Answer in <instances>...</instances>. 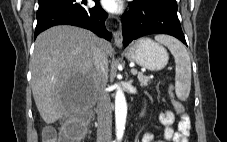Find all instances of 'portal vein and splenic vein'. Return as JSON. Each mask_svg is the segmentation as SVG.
Listing matches in <instances>:
<instances>
[{
  "label": "portal vein and splenic vein",
  "instance_id": "1",
  "mask_svg": "<svg viewBox=\"0 0 227 142\" xmlns=\"http://www.w3.org/2000/svg\"><path fill=\"white\" fill-rule=\"evenodd\" d=\"M131 73H132L133 75H137V70L132 69V70H131Z\"/></svg>",
  "mask_w": 227,
  "mask_h": 142
}]
</instances>
